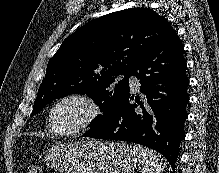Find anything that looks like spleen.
Returning a JSON list of instances; mask_svg holds the SVG:
<instances>
[{
  "mask_svg": "<svg viewBox=\"0 0 219 173\" xmlns=\"http://www.w3.org/2000/svg\"><path fill=\"white\" fill-rule=\"evenodd\" d=\"M133 151L142 164L141 173H162L167 165L166 159L160 154L141 145H134Z\"/></svg>",
  "mask_w": 219,
  "mask_h": 173,
  "instance_id": "spleen-1",
  "label": "spleen"
}]
</instances>
